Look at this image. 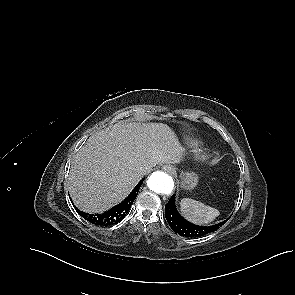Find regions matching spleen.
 Returning <instances> with one entry per match:
<instances>
[{"mask_svg": "<svg viewBox=\"0 0 295 295\" xmlns=\"http://www.w3.org/2000/svg\"><path fill=\"white\" fill-rule=\"evenodd\" d=\"M180 209L186 219L198 225L208 224L220 214L217 209L190 198L181 200Z\"/></svg>", "mask_w": 295, "mask_h": 295, "instance_id": "spleen-1", "label": "spleen"}]
</instances>
